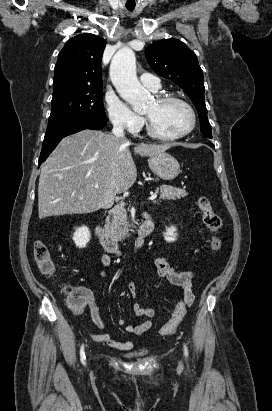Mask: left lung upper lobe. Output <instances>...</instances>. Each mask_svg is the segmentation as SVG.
Instances as JSON below:
<instances>
[{
	"mask_svg": "<svg viewBox=\"0 0 272 411\" xmlns=\"http://www.w3.org/2000/svg\"><path fill=\"white\" fill-rule=\"evenodd\" d=\"M145 56L154 71L178 84L189 96L198 110L201 132L212 138L204 101L203 72L198 59L183 42L163 39L149 45Z\"/></svg>",
	"mask_w": 272,
	"mask_h": 411,
	"instance_id": "left-lung-upper-lobe-1",
	"label": "left lung upper lobe"
}]
</instances>
